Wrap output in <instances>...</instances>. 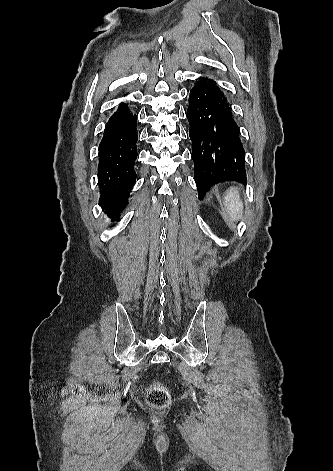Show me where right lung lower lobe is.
I'll use <instances>...</instances> for the list:
<instances>
[{
  "instance_id": "obj_1",
  "label": "right lung lower lobe",
  "mask_w": 333,
  "mask_h": 471,
  "mask_svg": "<svg viewBox=\"0 0 333 471\" xmlns=\"http://www.w3.org/2000/svg\"><path fill=\"white\" fill-rule=\"evenodd\" d=\"M137 116L126 103L109 119L99 145V204L110 217H117L128 204L127 197L136 182Z\"/></svg>"
}]
</instances>
